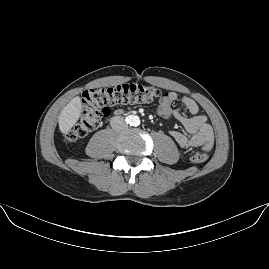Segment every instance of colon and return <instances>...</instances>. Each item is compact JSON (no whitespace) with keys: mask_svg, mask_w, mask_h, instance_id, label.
I'll return each mask as SVG.
<instances>
[{"mask_svg":"<svg viewBox=\"0 0 269 269\" xmlns=\"http://www.w3.org/2000/svg\"><path fill=\"white\" fill-rule=\"evenodd\" d=\"M160 96L154 86L139 83H122L110 87H87L82 93L83 107L78 123L67 134L66 139L74 142L86 136L101 122L110 107L123 104L148 103ZM209 158L208 151L190 157L192 163L204 162Z\"/></svg>","mask_w":269,"mask_h":269,"instance_id":"obj_1","label":"colon"}]
</instances>
